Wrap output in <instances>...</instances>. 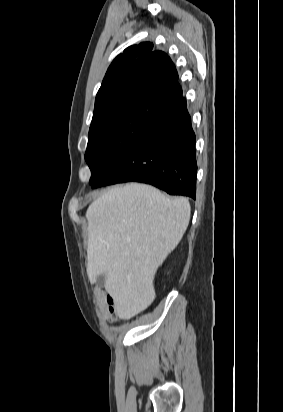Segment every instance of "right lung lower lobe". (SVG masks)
I'll return each instance as SVG.
<instances>
[{
  "label": "right lung lower lobe",
  "mask_w": 283,
  "mask_h": 412,
  "mask_svg": "<svg viewBox=\"0 0 283 412\" xmlns=\"http://www.w3.org/2000/svg\"><path fill=\"white\" fill-rule=\"evenodd\" d=\"M195 141L186 100L181 94L91 186L136 181L152 184L171 195L195 199Z\"/></svg>",
  "instance_id": "98d812e1"
}]
</instances>
